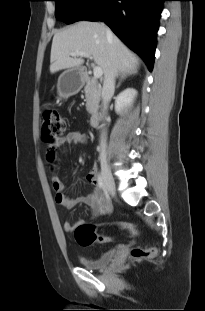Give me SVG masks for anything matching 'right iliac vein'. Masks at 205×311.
<instances>
[{
    "mask_svg": "<svg viewBox=\"0 0 205 311\" xmlns=\"http://www.w3.org/2000/svg\"><path fill=\"white\" fill-rule=\"evenodd\" d=\"M100 162H101V168H102V176H103V182L105 185L106 190L114 194L115 193V183L114 179L112 177L110 167L107 163L106 154L104 152L100 153Z\"/></svg>",
    "mask_w": 205,
    "mask_h": 311,
    "instance_id": "obj_1",
    "label": "right iliac vein"
}]
</instances>
